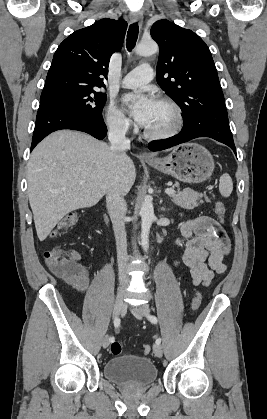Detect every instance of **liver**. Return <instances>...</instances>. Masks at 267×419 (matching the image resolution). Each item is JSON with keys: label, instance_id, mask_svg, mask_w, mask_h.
Returning <instances> with one entry per match:
<instances>
[{"label": "liver", "instance_id": "liver-1", "mask_svg": "<svg viewBox=\"0 0 267 419\" xmlns=\"http://www.w3.org/2000/svg\"><path fill=\"white\" fill-rule=\"evenodd\" d=\"M135 177L133 161L124 152L117 155L82 132H53L35 147L28 163V197L39 240L69 212L96 205L111 181H119L126 194Z\"/></svg>", "mask_w": 267, "mask_h": 419}]
</instances>
